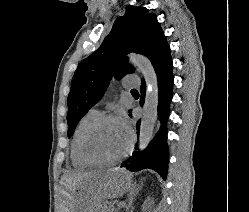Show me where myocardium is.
I'll use <instances>...</instances> for the list:
<instances>
[{"label": "myocardium", "instance_id": "1", "mask_svg": "<svg viewBox=\"0 0 249 212\" xmlns=\"http://www.w3.org/2000/svg\"><path fill=\"white\" fill-rule=\"evenodd\" d=\"M105 122H117L124 125L129 133V143L126 150L119 156L111 160H98L91 156L88 151V141L92 133L96 130L98 126ZM134 146V132L131 127L121 118L114 115H99L94 120H92L84 129L80 141H79V154L82 160L90 166L95 167H108L115 165L126 158L132 151Z\"/></svg>", "mask_w": 249, "mask_h": 212}]
</instances>
